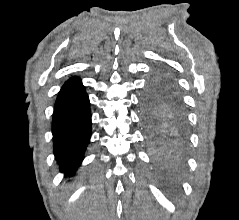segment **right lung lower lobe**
Returning a JSON list of instances; mask_svg holds the SVG:
<instances>
[{"label": "right lung lower lobe", "instance_id": "obj_1", "mask_svg": "<svg viewBox=\"0 0 239 220\" xmlns=\"http://www.w3.org/2000/svg\"><path fill=\"white\" fill-rule=\"evenodd\" d=\"M52 133L60 170L71 176L81 164L91 137L89 98L78 77L67 80L58 94Z\"/></svg>", "mask_w": 239, "mask_h": 220}]
</instances>
